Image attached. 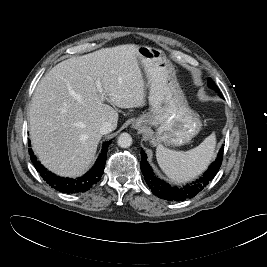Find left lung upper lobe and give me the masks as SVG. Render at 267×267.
I'll use <instances>...</instances> for the list:
<instances>
[{"label": "left lung upper lobe", "mask_w": 267, "mask_h": 267, "mask_svg": "<svg viewBox=\"0 0 267 267\" xmlns=\"http://www.w3.org/2000/svg\"><path fill=\"white\" fill-rule=\"evenodd\" d=\"M208 85H209L210 88H212V89L216 90L217 92H219V89L217 88V86L215 85V83L211 79L208 80ZM220 96H222V95H220Z\"/></svg>", "instance_id": "obj_1"}]
</instances>
